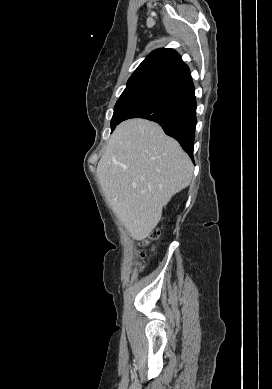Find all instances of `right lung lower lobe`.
I'll return each mask as SVG.
<instances>
[{
    "mask_svg": "<svg viewBox=\"0 0 272 389\" xmlns=\"http://www.w3.org/2000/svg\"><path fill=\"white\" fill-rule=\"evenodd\" d=\"M130 118L157 122L193 159L197 118L195 89L190 74L145 98L125 115L123 121Z\"/></svg>",
    "mask_w": 272,
    "mask_h": 389,
    "instance_id": "obj_1",
    "label": "right lung lower lobe"
}]
</instances>
